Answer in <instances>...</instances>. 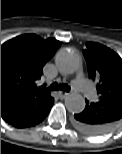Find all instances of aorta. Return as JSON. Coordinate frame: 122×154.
<instances>
[{"label":"aorta","mask_w":122,"mask_h":154,"mask_svg":"<svg viewBox=\"0 0 122 154\" xmlns=\"http://www.w3.org/2000/svg\"><path fill=\"white\" fill-rule=\"evenodd\" d=\"M55 64L61 73L72 75L79 69L80 60L72 49L64 48L57 53ZM65 106L71 113H80L85 108V100L82 95L72 93L66 96Z\"/></svg>","instance_id":"1"}]
</instances>
